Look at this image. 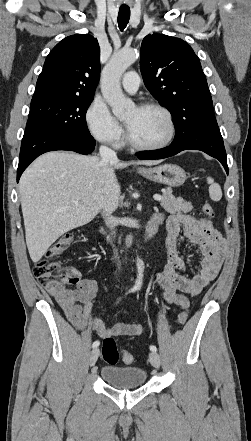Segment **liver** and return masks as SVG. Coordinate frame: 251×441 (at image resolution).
<instances>
[{"label":"liver","instance_id":"liver-1","mask_svg":"<svg viewBox=\"0 0 251 441\" xmlns=\"http://www.w3.org/2000/svg\"><path fill=\"white\" fill-rule=\"evenodd\" d=\"M156 165L160 161H138ZM134 163L52 151L38 157L19 182L26 244L33 262L64 233L83 226L100 211L117 208L120 185L115 169Z\"/></svg>","mask_w":251,"mask_h":441}]
</instances>
